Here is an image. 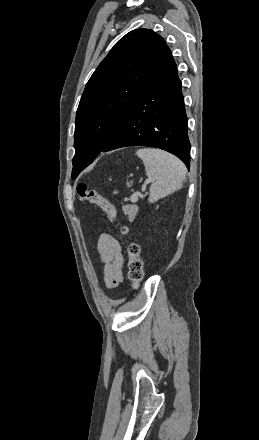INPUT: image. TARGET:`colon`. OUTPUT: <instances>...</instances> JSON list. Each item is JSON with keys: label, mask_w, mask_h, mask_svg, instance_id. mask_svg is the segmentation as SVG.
I'll return each instance as SVG.
<instances>
[{"label": "colon", "mask_w": 259, "mask_h": 440, "mask_svg": "<svg viewBox=\"0 0 259 440\" xmlns=\"http://www.w3.org/2000/svg\"><path fill=\"white\" fill-rule=\"evenodd\" d=\"M77 193L81 200L100 207L111 222L116 220V208L103 195L94 189H89L84 183L77 186ZM120 232L124 235L128 233L125 226L120 227ZM128 254V277L134 288H138L144 277V266L141 258L140 246L135 242H130L127 247Z\"/></svg>", "instance_id": "obj_1"}]
</instances>
